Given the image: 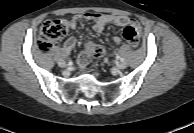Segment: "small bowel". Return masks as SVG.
Here are the masks:
<instances>
[{
	"label": "small bowel",
	"mask_w": 194,
	"mask_h": 133,
	"mask_svg": "<svg viewBox=\"0 0 194 133\" xmlns=\"http://www.w3.org/2000/svg\"><path fill=\"white\" fill-rule=\"evenodd\" d=\"M81 19L93 21V30L100 33L108 24H114L121 27H132L137 32L138 36L141 33L140 24L131 17L113 14H100V13H85L84 15H77L69 21V27L76 29ZM113 44L119 47L121 39L119 37L113 38ZM76 45V39L70 36L66 39L62 46V54L67 56ZM93 43L89 42L85 45V49L89 50Z\"/></svg>",
	"instance_id": "1"
}]
</instances>
